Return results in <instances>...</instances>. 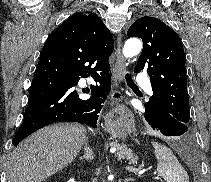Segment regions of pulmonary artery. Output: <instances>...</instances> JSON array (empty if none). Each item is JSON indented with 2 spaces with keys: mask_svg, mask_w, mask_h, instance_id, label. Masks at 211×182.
<instances>
[{
  "mask_svg": "<svg viewBox=\"0 0 211 182\" xmlns=\"http://www.w3.org/2000/svg\"><path fill=\"white\" fill-rule=\"evenodd\" d=\"M136 82L138 85H141V86H145L147 91L149 93L152 92L150 86H149V81H148V77L145 75V74H140L137 79H136Z\"/></svg>",
  "mask_w": 211,
  "mask_h": 182,
  "instance_id": "1",
  "label": "pulmonary artery"
}]
</instances>
